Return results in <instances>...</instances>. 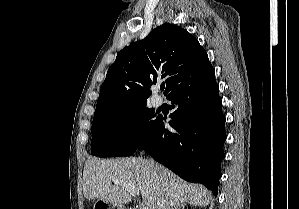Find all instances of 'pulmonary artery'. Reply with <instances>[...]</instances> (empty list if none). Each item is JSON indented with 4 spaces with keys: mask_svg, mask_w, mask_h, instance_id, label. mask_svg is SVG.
Instances as JSON below:
<instances>
[{
    "mask_svg": "<svg viewBox=\"0 0 299 209\" xmlns=\"http://www.w3.org/2000/svg\"><path fill=\"white\" fill-rule=\"evenodd\" d=\"M162 104V100L160 98H154L153 99V105L155 107H159Z\"/></svg>",
    "mask_w": 299,
    "mask_h": 209,
    "instance_id": "1",
    "label": "pulmonary artery"
}]
</instances>
